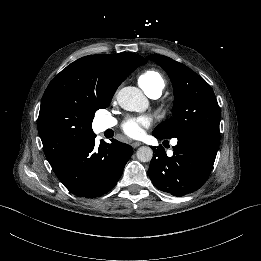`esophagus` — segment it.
<instances>
[{
    "label": "esophagus",
    "instance_id": "1",
    "mask_svg": "<svg viewBox=\"0 0 261 261\" xmlns=\"http://www.w3.org/2000/svg\"><path fill=\"white\" fill-rule=\"evenodd\" d=\"M140 145H142L141 142H133V143L131 144V146H132L133 148H137V147H139Z\"/></svg>",
    "mask_w": 261,
    "mask_h": 261
}]
</instances>
